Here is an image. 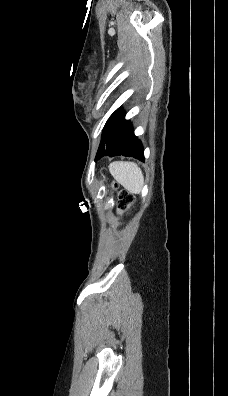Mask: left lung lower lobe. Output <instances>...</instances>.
Returning <instances> with one entry per match:
<instances>
[{"instance_id":"obj_1","label":"left lung lower lobe","mask_w":228,"mask_h":396,"mask_svg":"<svg viewBox=\"0 0 228 396\" xmlns=\"http://www.w3.org/2000/svg\"><path fill=\"white\" fill-rule=\"evenodd\" d=\"M125 114L117 109L107 120L101 143L96 155V160L104 155L129 156L144 160L143 146L134 135L133 127L129 120L124 119Z\"/></svg>"}]
</instances>
